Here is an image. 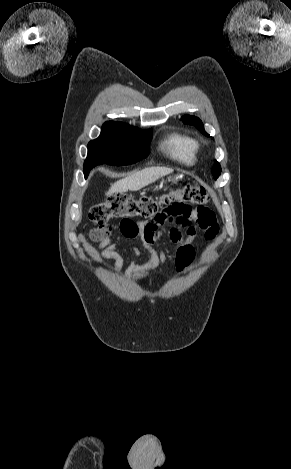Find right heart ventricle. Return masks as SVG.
I'll use <instances>...</instances> for the list:
<instances>
[{"instance_id":"obj_1","label":"right heart ventricle","mask_w":291,"mask_h":469,"mask_svg":"<svg viewBox=\"0 0 291 469\" xmlns=\"http://www.w3.org/2000/svg\"><path fill=\"white\" fill-rule=\"evenodd\" d=\"M160 148L169 158L183 165L190 166L196 162L198 144L189 135L169 133L161 141Z\"/></svg>"}]
</instances>
